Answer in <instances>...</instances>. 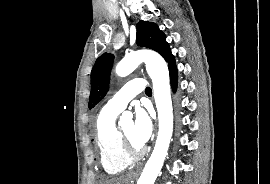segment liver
<instances>
[{
	"label": "liver",
	"mask_w": 270,
	"mask_h": 184,
	"mask_svg": "<svg viewBox=\"0 0 270 184\" xmlns=\"http://www.w3.org/2000/svg\"><path fill=\"white\" fill-rule=\"evenodd\" d=\"M130 179H131L130 176H125V177L106 180L104 184H128Z\"/></svg>",
	"instance_id": "liver-1"
}]
</instances>
